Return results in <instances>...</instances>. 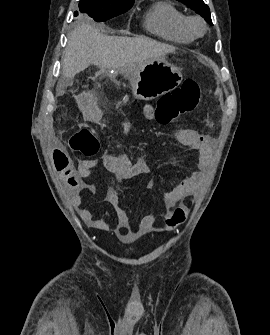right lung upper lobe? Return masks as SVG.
<instances>
[{"label":"right lung upper lobe","instance_id":"cb5924a9","mask_svg":"<svg viewBox=\"0 0 270 335\" xmlns=\"http://www.w3.org/2000/svg\"><path fill=\"white\" fill-rule=\"evenodd\" d=\"M100 4L104 5H114V4H127V3H132L135 0H96Z\"/></svg>","mask_w":270,"mask_h":335}]
</instances>
